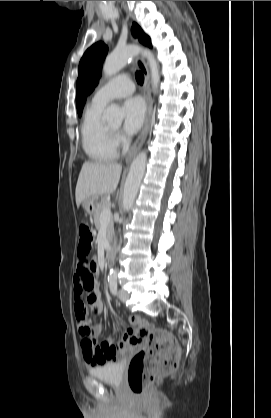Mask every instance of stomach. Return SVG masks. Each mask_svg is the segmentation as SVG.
I'll return each instance as SVG.
<instances>
[{
    "label": "stomach",
    "instance_id": "0dacf381",
    "mask_svg": "<svg viewBox=\"0 0 271 418\" xmlns=\"http://www.w3.org/2000/svg\"><path fill=\"white\" fill-rule=\"evenodd\" d=\"M99 203H100L99 196H91V197L86 198L82 202V208L87 215H92L97 209Z\"/></svg>",
    "mask_w": 271,
    "mask_h": 418
}]
</instances>
